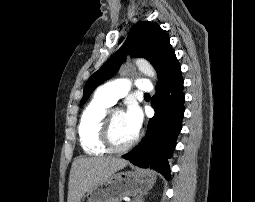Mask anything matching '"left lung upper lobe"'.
<instances>
[{"label": "left lung upper lobe", "instance_id": "obj_1", "mask_svg": "<svg viewBox=\"0 0 255 202\" xmlns=\"http://www.w3.org/2000/svg\"><path fill=\"white\" fill-rule=\"evenodd\" d=\"M127 55L143 57L154 66L159 79L156 88L166 86L181 73L180 64L166 32L157 23L140 21L131 28L123 46L89 78L80 105L86 102L98 85L119 70Z\"/></svg>", "mask_w": 255, "mask_h": 202}]
</instances>
